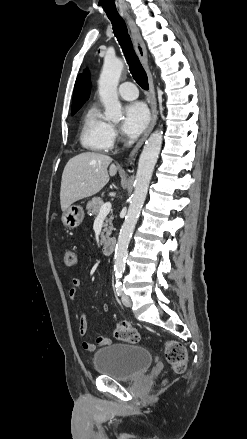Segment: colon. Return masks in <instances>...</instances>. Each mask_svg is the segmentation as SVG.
<instances>
[{
    "instance_id": "5ec220e1",
    "label": "colon",
    "mask_w": 247,
    "mask_h": 439,
    "mask_svg": "<svg viewBox=\"0 0 247 439\" xmlns=\"http://www.w3.org/2000/svg\"><path fill=\"white\" fill-rule=\"evenodd\" d=\"M64 263L69 267L77 264V255L73 250L65 251ZM115 337L128 343H137L141 338L139 332L127 322L118 323ZM164 349L166 360L173 371L183 373L187 367V351L184 345L178 341L170 340L165 343Z\"/></svg>"
}]
</instances>
